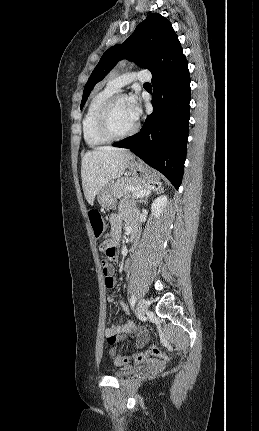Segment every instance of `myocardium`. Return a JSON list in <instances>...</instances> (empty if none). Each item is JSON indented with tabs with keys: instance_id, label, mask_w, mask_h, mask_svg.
Segmentation results:
<instances>
[{
	"instance_id": "f54148a6",
	"label": "myocardium",
	"mask_w": 259,
	"mask_h": 431,
	"mask_svg": "<svg viewBox=\"0 0 259 431\" xmlns=\"http://www.w3.org/2000/svg\"><path fill=\"white\" fill-rule=\"evenodd\" d=\"M121 99H126V95L122 93H115L111 95L101 105L97 113V129L103 137L109 140H118L130 137L134 135L139 129V123L136 121L134 126L126 132L119 133L114 130L112 126V110L115 104Z\"/></svg>"
}]
</instances>
